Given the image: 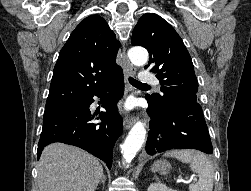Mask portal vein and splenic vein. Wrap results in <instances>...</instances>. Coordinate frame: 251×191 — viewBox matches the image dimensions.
I'll return each instance as SVG.
<instances>
[{
    "label": "portal vein and splenic vein",
    "mask_w": 251,
    "mask_h": 191,
    "mask_svg": "<svg viewBox=\"0 0 251 191\" xmlns=\"http://www.w3.org/2000/svg\"><path fill=\"white\" fill-rule=\"evenodd\" d=\"M177 181H185V179H177ZM188 181L195 182V181H196V178H195V177H192L191 179H188Z\"/></svg>",
    "instance_id": "obj_1"
}]
</instances>
